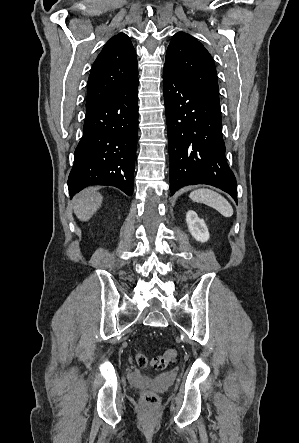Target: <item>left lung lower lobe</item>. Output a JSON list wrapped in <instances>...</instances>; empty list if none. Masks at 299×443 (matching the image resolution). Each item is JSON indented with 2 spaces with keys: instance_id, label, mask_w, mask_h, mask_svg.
<instances>
[{
  "instance_id": "0a47b994",
  "label": "left lung lower lobe",
  "mask_w": 299,
  "mask_h": 443,
  "mask_svg": "<svg viewBox=\"0 0 299 443\" xmlns=\"http://www.w3.org/2000/svg\"><path fill=\"white\" fill-rule=\"evenodd\" d=\"M170 189L190 184L222 189L237 201L236 179L225 158L220 102L164 67Z\"/></svg>"
}]
</instances>
